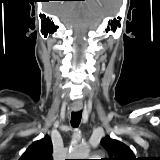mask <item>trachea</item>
I'll list each match as a JSON object with an SVG mask.
<instances>
[{
    "label": "trachea",
    "instance_id": "trachea-1",
    "mask_svg": "<svg viewBox=\"0 0 160 160\" xmlns=\"http://www.w3.org/2000/svg\"><path fill=\"white\" fill-rule=\"evenodd\" d=\"M82 111L73 112L71 114V125L73 127H78L81 121Z\"/></svg>",
    "mask_w": 160,
    "mask_h": 160
}]
</instances>
